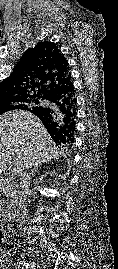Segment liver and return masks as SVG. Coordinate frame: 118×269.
<instances>
[{
	"instance_id": "liver-1",
	"label": "liver",
	"mask_w": 118,
	"mask_h": 269,
	"mask_svg": "<svg viewBox=\"0 0 118 269\" xmlns=\"http://www.w3.org/2000/svg\"><path fill=\"white\" fill-rule=\"evenodd\" d=\"M62 155L34 114L15 110L0 115V174L8 166L19 174Z\"/></svg>"
}]
</instances>
